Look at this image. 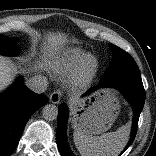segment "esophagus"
I'll return each mask as SVG.
<instances>
[{"label":"esophagus","mask_w":156,"mask_h":156,"mask_svg":"<svg viewBox=\"0 0 156 156\" xmlns=\"http://www.w3.org/2000/svg\"><path fill=\"white\" fill-rule=\"evenodd\" d=\"M60 99H61V93L59 91H54L53 93H51L50 101L53 104H58L60 102Z\"/></svg>","instance_id":"1"}]
</instances>
